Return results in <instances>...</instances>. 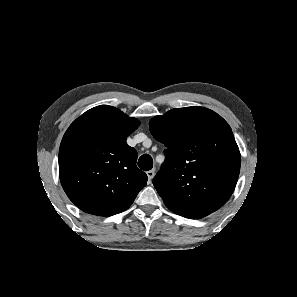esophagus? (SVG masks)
<instances>
[{"mask_svg":"<svg viewBox=\"0 0 297 297\" xmlns=\"http://www.w3.org/2000/svg\"><path fill=\"white\" fill-rule=\"evenodd\" d=\"M155 175V171L152 169V170H149L147 171V177L149 180H151Z\"/></svg>","mask_w":297,"mask_h":297,"instance_id":"esophagus-1","label":"esophagus"}]
</instances>
